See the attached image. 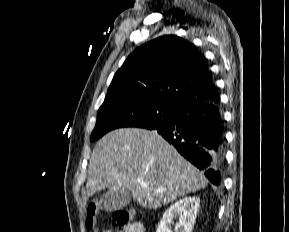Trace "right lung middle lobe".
Masks as SVG:
<instances>
[{"label": "right lung middle lobe", "mask_w": 289, "mask_h": 232, "mask_svg": "<svg viewBox=\"0 0 289 232\" xmlns=\"http://www.w3.org/2000/svg\"><path fill=\"white\" fill-rule=\"evenodd\" d=\"M176 107L148 100L143 96L107 98L98 110L90 141L121 127L158 128L176 117Z\"/></svg>", "instance_id": "dd1d6c3e"}]
</instances>
